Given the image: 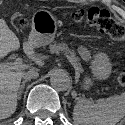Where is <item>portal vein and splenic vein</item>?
Returning a JSON list of instances; mask_svg holds the SVG:
<instances>
[{
	"mask_svg": "<svg viewBox=\"0 0 125 125\" xmlns=\"http://www.w3.org/2000/svg\"><path fill=\"white\" fill-rule=\"evenodd\" d=\"M65 56L69 60V62L74 66V68H77V65L73 62V60L69 56ZM27 68L28 66L23 63V60L21 58H17L14 62L0 64L1 70H24Z\"/></svg>",
	"mask_w": 125,
	"mask_h": 125,
	"instance_id": "obj_1",
	"label": "portal vein and splenic vein"
}]
</instances>
